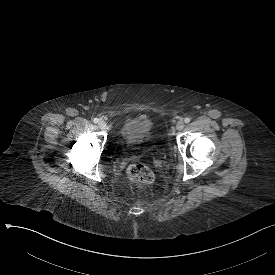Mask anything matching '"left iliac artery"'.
<instances>
[{"instance_id":"1","label":"left iliac artery","mask_w":275,"mask_h":275,"mask_svg":"<svg viewBox=\"0 0 275 275\" xmlns=\"http://www.w3.org/2000/svg\"><path fill=\"white\" fill-rule=\"evenodd\" d=\"M184 121H185V123H189L190 122V118L187 117V118H185Z\"/></svg>"}]
</instances>
